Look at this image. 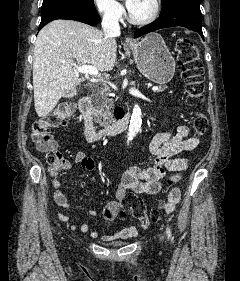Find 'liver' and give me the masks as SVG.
Here are the masks:
<instances>
[{"instance_id":"1","label":"liver","mask_w":240,"mask_h":281,"mask_svg":"<svg viewBox=\"0 0 240 281\" xmlns=\"http://www.w3.org/2000/svg\"><path fill=\"white\" fill-rule=\"evenodd\" d=\"M117 44L87 24L55 20L38 34L33 53L34 105L39 117H46L64 93L85 78L76 76L74 65H88L98 71L113 69Z\"/></svg>"}]
</instances>
